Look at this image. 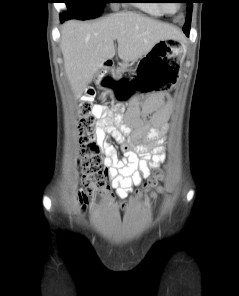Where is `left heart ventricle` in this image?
Masks as SVG:
<instances>
[{"label":"left heart ventricle","instance_id":"b2bd125f","mask_svg":"<svg viewBox=\"0 0 239 296\" xmlns=\"http://www.w3.org/2000/svg\"><path fill=\"white\" fill-rule=\"evenodd\" d=\"M176 6H177L176 3H169L168 4L169 9H171L172 11H175L176 10Z\"/></svg>","mask_w":239,"mask_h":296}]
</instances>
